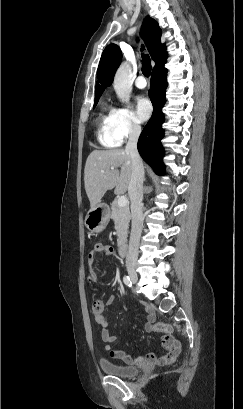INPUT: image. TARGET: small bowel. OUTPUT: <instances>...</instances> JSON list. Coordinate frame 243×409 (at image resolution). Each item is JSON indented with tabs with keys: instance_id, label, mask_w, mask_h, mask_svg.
I'll return each instance as SVG.
<instances>
[{
	"instance_id": "1",
	"label": "small bowel",
	"mask_w": 243,
	"mask_h": 409,
	"mask_svg": "<svg viewBox=\"0 0 243 409\" xmlns=\"http://www.w3.org/2000/svg\"><path fill=\"white\" fill-rule=\"evenodd\" d=\"M114 253L115 249L113 246L102 243L96 244L92 251L89 253L87 257V262L90 266L91 280L93 283H97L99 281V277L93 269V266L96 261V256L97 255L108 256L113 255ZM114 299H115L114 296L110 297L107 300V304H111L114 301ZM144 312L146 313V323L144 325V330L150 333L154 330V322L156 317L155 312L148 306H144ZM94 320L97 326L101 329V338L105 345V350L109 353V355L112 358L122 360L126 364L139 363L141 365L151 364L170 365L174 363L177 357L180 355L181 352L180 342L170 332H168L167 334L162 336L160 340L162 348L160 354L152 353L134 359L124 351L113 348L112 344L115 342L116 337L115 335L111 334L108 330L109 323L103 313V309L101 312L94 314Z\"/></svg>"
}]
</instances>
